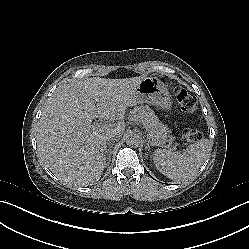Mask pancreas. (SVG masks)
<instances>
[{
  "mask_svg": "<svg viewBox=\"0 0 249 249\" xmlns=\"http://www.w3.org/2000/svg\"><path fill=\"white\" fill-rule=\"evenodd\" d=\"M129 118L143 125L150 133L151 138L157 142H163L167 130L163 123L148 106L135 107L129 114Z\"/></svg>",
  "mask_w": 249,
  "mask_h": 249,
  "instance_id": "1",
  "label": "pancreas"
}]
</instances>
